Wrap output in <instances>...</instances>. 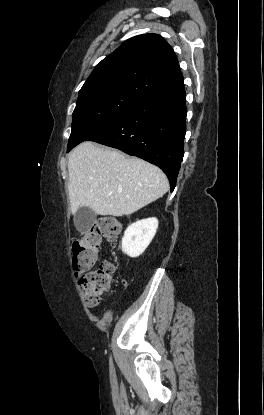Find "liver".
Instances as JSON below:
<instances>
[{"instance_id": "1", "label": "liver", "mask_w": 264, "mask_h": 415, "mask_svg": "<svg viewBox=\"0 0 264 415\" xmlns=\"http://www.w3.org/2000/svg\"><path fill=\"white\" fill-rule=\"evenodd\" d=\"M68 176L72 214L88 207L102 216L130 215L169 189L166 175L157 166L89 141L70 153Z\"/></svg>"}]
</instances>
